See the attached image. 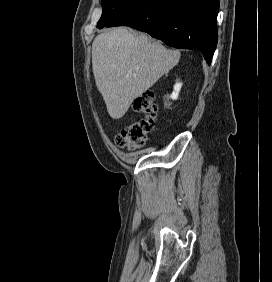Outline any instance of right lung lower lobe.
<instances>
[{"instance_id": "obj_1", "label": "right lung lower lobe", "mask_w": 272, "mask_h": 282, "mask_svg": "<svg viewBox=\"0 0 272 282\" xmlns=\"http://www.w3.org/2000/svg\"><path fill=\"white\" fill-rule=\"evenodd\" d=\"M219 0H136L105 26H130L180 49H198L211 63Z\"/></svg>"}]
</instances>
